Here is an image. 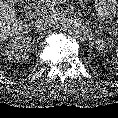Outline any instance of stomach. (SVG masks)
<instances>
[{
  "mask_svg": "<svg viewBox=\"0 0 118 118\" xmlns=\"http://www.w3.org/2000/svg\"><path fill=\"white\" fill-rule=\"evenodd\" d=\"M117 7V0H95V9L101 23L111 21Z\"/></svg>",
  "mask_w": 118,
  "mask_h": 118,
  "instance_id": "obj_1",
  "label": "stomach"
}]
</instances>
